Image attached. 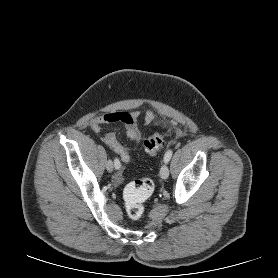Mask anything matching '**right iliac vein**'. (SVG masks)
<instances>
[{"instance_id": "1", "label": "right iliac vein", "mask_w": 278, "mask_h": 278, "mask_svg": "<svg viewBox=\"0 0 278 278\" xmlns=\"http://www.w3.org/2000/svg\"><path fill=\"white\" fill-rule=\"evenodd\" d=\"M113 163H112V161H108L107 163H106V169H107V171H109V172H111V171H113Z\"/></svg>"}]
</instances>
